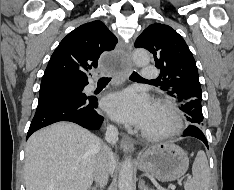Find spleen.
I'll return each mask as SVG.
<instances>
[{
    "instance_id": "3e777b00",
    "label": "spleen",
    "mask_w": 234,
    "mask_h": 190,
    "mask_svg": "<svg viewBox=\"0 0 234 190\" xmlns=\"http://www.w3.org/2000/svg\"><path fill=\"white\" fill-rule=\"evenodd\" d=\"M193 177L184 184L185 190H209L210 170L204 151H199L192 166Z\"/></svg>"
}]
</instances>
